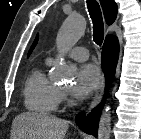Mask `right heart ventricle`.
Returning <instances> with one entry per match:
<instances>
[{"mask_svg": "<svg viewBox=\"0 0 141 139\" xmlns=\"http://www.w3.org/2000/svg\"><path fill=\"white\" fill-rule=\"evenodd\" d=\"M25 107L36 114L53 113L60 98V89L46 76L43 68L33 69L27 76L23 89Z\"/></svg>", "mask_w": 141, "mask_h": 139, "instance_id": "1", "label": "right heart ventricle"}]
</instances>
